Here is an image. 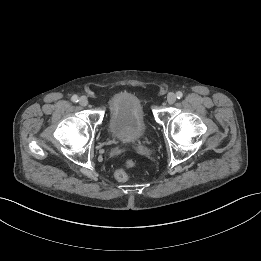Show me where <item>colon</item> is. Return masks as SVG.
Segmentation results:
<instances>
[{"label":"colon","instance_id":"obj_1","mask_svg":"<svg viewBox=\"0 0 261 261\" xmlns=\"http://www.w3.org/2000/svg\"><path fill=\"white\" fill-rule=\"evenodd\" d=\"M134 163L131 160L125 162L124 168L118 169L115 172V179L119 182H124L128 179V174L126 172L127 169L133 167Z\"/></svg>","mask_w":261,"mask_h":261}]
</instances>
